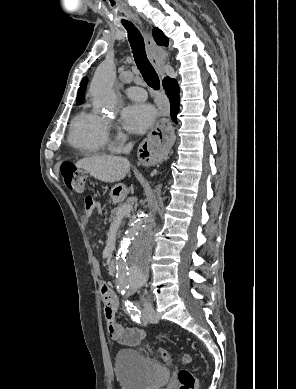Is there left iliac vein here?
<instances>
[{"instance_id": "left-iliac-vein-1", "label": "left iliac vein", "mask_w": 296, "mask_h": 389, "mask_svg": "<svg viewBox=\"0 0 296 389\" xmlns=\"http://www.w3.org/2000/svg\"><path fill=\"white\" fill-rule=\"evenodd\" d=\"M144 314L148 322L157 323L159 321L158 315L150 303H145Z\"/></svg>"}]
</instances>
